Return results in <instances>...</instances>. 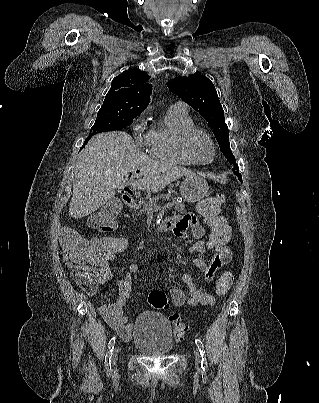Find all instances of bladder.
<instances>
[{"instance_id": "1", "label": "bladder", "mask_w": 319, "mask_h": 403, "mask_svg": "<svg viewBox=\"0 0 319 403\" xmlns=\"http://www.w3.org/2000/svg\"><path fill=\"white\" fill-rule=\"evenodd\" d=\"M133 347L146 356H165L172 352L174 340L168 318L155 311H143L134 323Z\"/></svg>"}]
</instances>
